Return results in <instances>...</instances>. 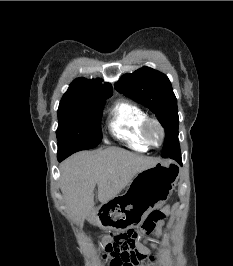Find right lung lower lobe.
Segmentation results:
<instances>
[{
    "instance_id": "obj_1",
    "label": "right lung lower lobe",
    "mask_w": 233,
    "mask_h": 266,
    "mask_svg": "<svg viewBox=\"0 0 233 266\" xmlns=\"http://www.w3.org/2000/svg\"><path fill=\"white\" fill-rule=\"evenodd\" d=\"M66 157L64 156H58V161H62L63 159H65Z\"/></svg>"
}]
</instances>
